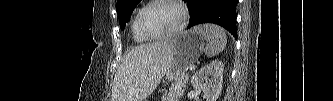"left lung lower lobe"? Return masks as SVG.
Wrapping results in <instances>:
<instances>
[{
    "mask_svg": "<svg viewBox=\"0 0 333 101\" xmlns=\"http://www.w3.org/2000/svg\"><path fill=\"white\" fill-rule=\"evenodd\" d=\"M190 13L187 29L201 24L214 23L224 27L237 38L236 5L238 0H186Z\"/></svg>",
    "mask_w": 333,
    "mask_h": 101,
    "instance_id": "1",
    "label": "left lung lower lobe"
}]
</instances>
